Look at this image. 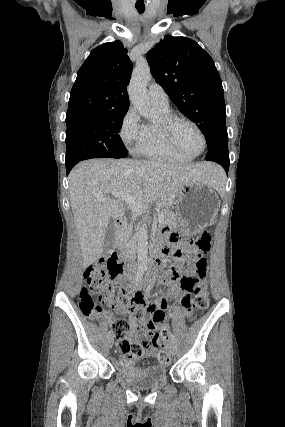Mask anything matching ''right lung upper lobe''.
<instances>
[{
	"label": "right lung upper lobe",
	"instance_id": "obj_1",
	"mask_svg": "<svg viewBox=\"0 0 285 427\" xmlns=\"http://www.w3.org/2000/svg\"><path fill=\"white\" fill-rule=\"evenodd\" d=\"M132 63L120 41L93 49L72 87L66 120L108 111H127Z\"/></svg>",
	"mask_w": 285,
	"mask_h": 427
}]
</instances>
